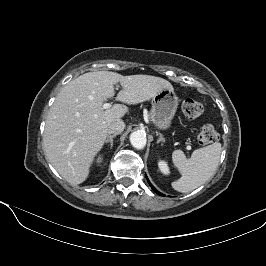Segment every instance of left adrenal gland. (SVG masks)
I'll return each instance as SVG.
<instances>
[{
  "instance_id": "a2214340",
  "label": "left adrenal gland",
  "mask_w": 266,
  "mask_h": 266,
  "mask_svg": "<svg viewBox=\"0 0 266 266\" xmlns=\"http://www.w3.org/2000/svg\"><path fill=\"white\" fill-rule=\"evenodd\" d=\"M159 135V139L157 140V143H160V142H165V139L163 137V135L161 133H157Z\"/></svg>"
}]
</instances>
